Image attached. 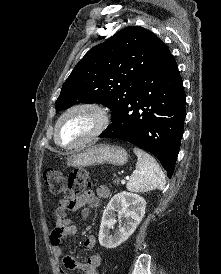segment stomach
<instances>
[{"label": "stomach", "mask_w": 221, "mask_h": 274, "mask_svg": "<svg viewBox=\"0 0 221 274\" xmlns=\"http://www.w3.org/2000/svg\"><path fill=\"white\" fill-rule=\"evenodd\" d=\"M128 161L125 149L115 145L96 144L79 152L73 153L67 159L68 165L87 167L103 164L122 166Z\"/></svg>", "instance_id": "0dacf381"}]
</instances>
